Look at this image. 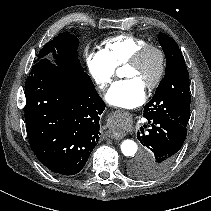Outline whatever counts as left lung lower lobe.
<instances>
[{"label": "left lung lower lobe", "instance_id": "left-lung-lower-lobe-1", "mask_svg": "<svg viewBox=\"0 0 211 211\" xmlns=\"http://www.w3.org/2000/svg\"><path fill=\"white\" fill-rule=\"evenodd\" d=\"M147 120L151 126L148 133L141 129L137 138L152 152V156L149 160L138 157L131 163V168L136 170L140 178L151 179L163 174L172 165L186 139L187 128L167 117Z\"/></svg>", "mask_w": 211, "mask_h": 211}]
</instances>
